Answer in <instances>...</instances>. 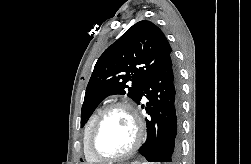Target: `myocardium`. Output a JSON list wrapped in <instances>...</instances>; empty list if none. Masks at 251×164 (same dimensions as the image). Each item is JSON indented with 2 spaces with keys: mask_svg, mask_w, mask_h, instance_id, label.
Returning a JSON list of instances; mask_svg holds the SVG:
<instances>
[{
  "mask_svg": "<svg viewBox=\"0 0 251 164\" xmlns=\"http://www.w3.org/2000/svg\"><path fill=\"white\" fill-rule=\"evenodd\" d=\"M120 108L127 110L134 121L135 129H136L135 140H134L132 146L130 147V149L123 154H120L117 156H110V157L102 156V155L98 154L94 148V141H95L96 135H97L104 119L106 118V116L111 111H113L115 109H120ZM144 133H145L144 123L142 121L140 114L136 110V108L131 103L126 102V101L114 102V103L108 105L107 107H105L101 111V113L98 115V117L96 118V120L91 128L89 138H88V144H87L88 151H89L90 155L99 162H113V161L123 160V159H126V158L130 157L131 155H133L139 149V147L141 146V144L144 140Z\"/></svg>",
  "mask_w": 251,
  "mask_h": 164,
  "instance_id": "myocardium-1",
  "label": "myocardium"
}]
</instances>
